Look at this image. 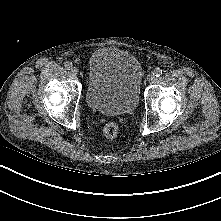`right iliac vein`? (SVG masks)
Listing matches in <instances>:
<instances>
[{"mask_svg":"<svg viewBox=\"0 0 221 221\" xmlns=\"http://www.w3.org/2000/svg\"><path fill=\"white\" fill-rule=\"evenodd\" d=\"M71 73H72L73 75H77V74L79 73L78 68L72 67V68H71Z\"/></svg>","mask_w":221,"mask_h":221,"instance_id":"1","label":"right iliac vein"}]
</instances>
